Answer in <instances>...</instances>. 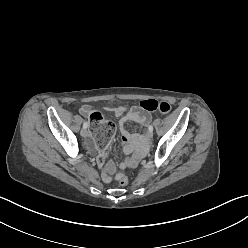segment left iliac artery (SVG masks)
Returning a JSON list of instances; mask_svg holds the SVG:
<instances>
[{"mask_svg":"<svg viewBox=\"0 0 248 248\" xmlns=\"http://www.w3.org/2000/svg\"><path fill=\"white\" fill-rule=\"evenodd\" d=\"M148 129L149 131H153V127L151 125H149Z\"/></svg>","mask_w":248,"mask_h":248,"instance_id":"obj_1","label":"left iliac artery"}]
</instances>
